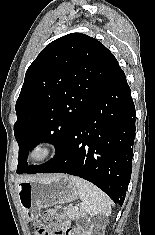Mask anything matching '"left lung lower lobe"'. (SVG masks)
Here are the masks:
<instances>
[{"label":"left lung lower lobe","instance_id":"left-lung-lower-lobe-1","mask_svg":"<svg viewBox=\"0 0 155 235\" xmlns=\"http://www.w3.org/2000/svg\"><path fill=\"white\" fill-rule=\"evenodd\" d=\"M135 106L119 64L72 129L67 141L37 173H67L123 204L131 178Z\"/></svg>","mask_w":155,"mask_h":235}]
</instances>
